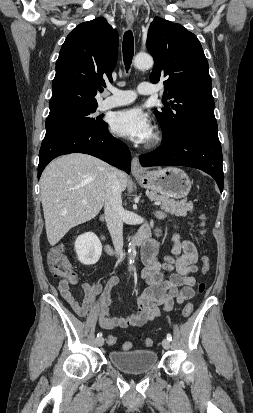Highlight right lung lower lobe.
Listing matches in <instances>:
<instances>
[{
	"instance_id": "right-lung-lower-lobe-1",
	"label": "right lung lower lobe",
	"mask_w": 253,
	"mask_h": 413,
	"mask_svg": "<svg viewBox=\"0 0 253 413\" xmlns=\"http://www.w3.org/2000/svg\"><path fill=\"white\" fill-rule=\"evenodd\" d=\"M108 124L94 131H70L45 136L39 153L38 178L54 158L69 153H85L130 173L131 154L128 147L113 137Z\"/></svg>"
}]
</instances>
